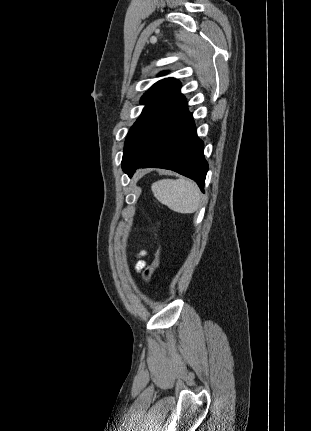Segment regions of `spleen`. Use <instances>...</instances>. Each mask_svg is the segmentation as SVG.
<instances>
[{
	"mask_svg": "<svg viewBox=\"0 0 311 431\" xmlns=\"http://www.w3.org/2000/svg\"><path fill=\"white\" fill-rule=\"evenodd\" d=\"M152 194L160 204L168 206L178 214H193L201 206V196L198 186L186 180H159L151 186Z\"/></svg>",
	"mask_w": 311,
	"mask_h": 431,
	"instance_id": "3e777b00",
	"label": "spleen"
}]
</instances>
